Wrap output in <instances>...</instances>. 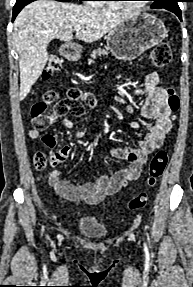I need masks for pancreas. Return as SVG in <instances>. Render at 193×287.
<instances>
[{"mask_svg": "<svg viewBox=\"0 0 193 287\" xmlns=\"http://www.w3.org/2000/svg\"><path fill=\"white\" fill-rule=\"evenodd\" d=\"M108 55V51L105 49H96L93 51V53L91 54V57L88 59V65H91L92 63H94V60L97 59V57H105Z\"/></svg>", "mask_w": 193, "mask_h": 287, "instance_id": "cf45deb5", "label": "pancreas"}]
</instances>
